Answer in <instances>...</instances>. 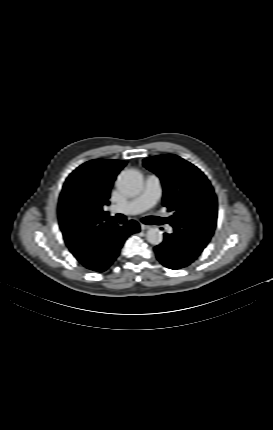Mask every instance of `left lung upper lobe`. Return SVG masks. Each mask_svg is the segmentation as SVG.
Returning a JSON list of instances; mask_svg holds the SVG:
<instances>
[{
  "mask_svg": "<svg viewBox=\"0 0 273 430\" xmlns=\"http://www.w3.org/2000/svg\"><path fill=\"white\" fill-rule=\"evenodd\" d=\"M143 165L162 181L163 205L174 212L168 220L178 238L202 252L217 221V198L207 177L172 154L146 158Z\"/></svg>",
  "mask_w": 273,
  "mask_h": 430,
  "instance_id": "1",
  "label": "left lung upper lobe"
}]
</instances>
